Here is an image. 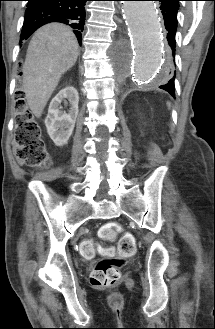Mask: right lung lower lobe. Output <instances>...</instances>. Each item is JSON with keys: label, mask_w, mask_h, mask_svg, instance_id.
<instances>
[{"label": "right lung lower lobe", "mask_w": 215, "mask_h": 329, "mask_svg": "<svg viewBox=\"0 0 215 329\" xmlns=\"http://www.w3.org/2000/svg\"><path fill=\"white\" fill-rule=\"evenodd\" d=\"M20 40L27 39L35 30L50 22H62L74 28L81 45L85 22V3L89 0H27Z\"/></svg>", "instance_id": "right-lung-lower-lobe-1"}]
</instances>
